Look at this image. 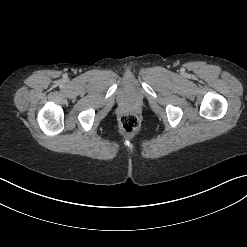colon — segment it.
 I'll return each instance as SVG.
<instances>
[{"label": "colon", "mask_w": 247, "mask_h": 247, "mask_svg": "<svg viewBox=\"0 0 247 247\" xmlns=\"http://www.w3.org/2000/svg\"><path fill=\"white\" fill-rule=\"evenodd\" d=\"M119 127L126 134L134 133L140 127V119L134 112H126L119 119Z\"/></svg>", "instance_id": "colon-1"}]
</instances>
